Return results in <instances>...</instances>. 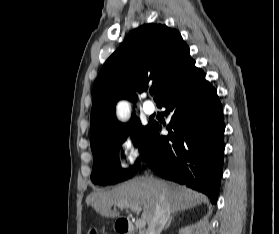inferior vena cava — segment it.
Instances as JSON below:
<instances>
[{
    "label": "inferior vena cava",
    "instance_id": "1",
    "mask_svg": "<svg viewBox=\"0 0 279 234\" xmlns=\"http://www.w3.org/2000/svg\"><path fill=\"white\" fill-rule=\"evenodd\" d=\"M171 214L170 205L163 193L160 197V201L156 204L155 213L152 220L148 223V228L145 234H161L167 220Z\"/></svg>",
    "mask_w": 279,
    "mask_h": 234
}]
</instances>
